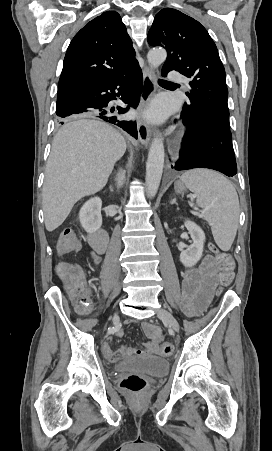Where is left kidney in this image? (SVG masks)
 Here are the masks:
<instances>
[{
  "instance_id": "5707ae66",
  "label": "left kidney",
  "mask_w": 272,
  "mask_h": 451,
  "mask_svg": "<svg viewBox=\"0 0 272 451\" xmlns=\"http://www.w3.org/2000/svg\"><path fill=\"white\" fill-rule=\"evenodd\" d=\"M184 226L187 227L188 233H190L193 239V243H190L187 249L181 251L180 261H182L183 265H186V267H192V265H195L202 257L205 233L201 227L197 226L195 222H190V220H186Z\"/></svg>"
}]
</instances>
